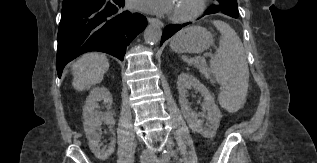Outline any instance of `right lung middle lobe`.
<instances>
[{
  "label": "right lung middle lobe",
  "mask_w": 317,
  "mask_h": 163,
  "mask_svg": "<svg viewBox=\"0 0 317 163\" xmlns=\"http://www.w3.org/2000/svg\"><path fill=\"white\" fill-rule=\"evenodd\" d=\"M94 0H68V1H63V8L62 11L65 9H71V8H76L78 6H81L83 4H86L88 2H91Z\"/></svg>",
  "instance_id": "dd1d6c3e"
}]
</instances>
